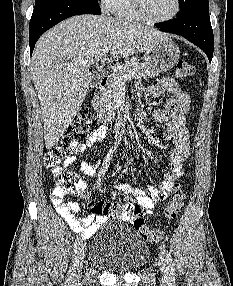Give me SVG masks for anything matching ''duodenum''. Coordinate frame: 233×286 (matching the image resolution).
Returning <instances> with one entry per match:
<instances>
[{
  "instance_id": "duodenum-1",
  "label": "duodenum",
  "mask_w": 233,
  "mask_h": 286,
  "mask_svg": "<svg viewBox=\"0 0 233 286\" xmlns=\"http://www.w3.org/2000/svg\"><path fill=\"white\" fill-rule=\"evenodd\" d=\"M108 84V77L106 75H103L98 83L97 90L101 91L103 90Z\"/></svg>"
}]
</instances>
